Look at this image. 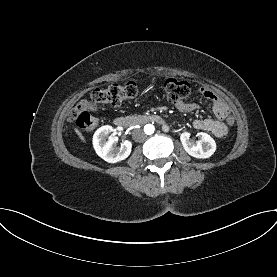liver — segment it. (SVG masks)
I'll list each match as a JSON object with an SVG mask.
<instances>
[{"label":"liver","instance_id":"1","mask_svg":"<svg viewBox=\"0 0 277 277\" xmlns=\"http://www.w3.org/2000/svg\"><path fill=\"white\" fill-rule=\"evenodd\" d=\"M75 132H76L77 135L80 137V139H81L83 142H85V138H84V136L82 135V133H81L78 129H76V128H75Z\"/></svg>","mask_w":277,"mask_h":277}]
</instances>
